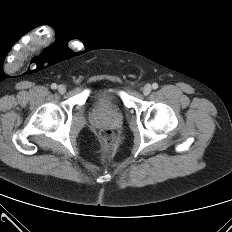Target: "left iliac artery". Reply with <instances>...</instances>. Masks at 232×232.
Masks as SVG:
<instances>
[{
	"label": "left iliac artery",
	"mask_w": 232,
	"mask_h": 232,
	"mask_svg": "<svg viewBox=\"0 0 232 232\" xmlns=\"http://www.w3.org/2000/svg\"><path fill=\"white\" fill-rule=\"evenodd\" d=\"M152 87H153V89H157L158 88V84L157 83H153Z\"/></svg>",
	"instance_id": "44dca946"
}]
</instances>
